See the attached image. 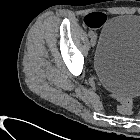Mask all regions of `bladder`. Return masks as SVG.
<instances>
[{
  "label": "bladder",
  "instance_id": "obj_1",
  "mask_svg": "<svg viewBox=\"0 0 140 140\" xmlns=\"http://www.w3.org/2000/svg\"><path fill=\"white\" fill-rule=\"evenodd\" d=\"M93 67L100 84L112 94L140 95V14L116 15L104 25Z\"/></svg>",
  "mask_w": 140,
  "mask_h": 140
}]
</instances>
